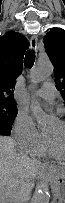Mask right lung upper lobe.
<instances>
[{"label": "right lung upper lobe", "instance_id": "obj_1", "mask_svg": "<svg viewBox=\"0 0 65 203\" xmlns=\"http://www.w3.org/2000/svg\"><path fill=\"white\" fill-rule=\"evenodd\" d=\"M29 41L20 33L8 32L0 38V101L13 102L12 88L22 73L23 57Z\"/></svg>", "mask_w": 65, "mask_h": 203}]
</instances>
